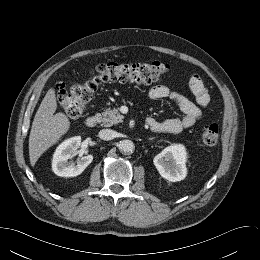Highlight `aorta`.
<instances>
[{
	"label": "aorta",
	"instance_id": "obj_1",
	"mask_svg": "<svg viewBox=\"0 0 260 260\" xmlns=\"http://www.w3.org/2000/svg\"><path fill=\"white\" fill-rule=\"evenodd\" d=\"M118 148L121 152L132 153L135 149V145L131 140H122L119 142Z\"/></svg>",
	"mask_w": 260,
	"mask_h": 260
}]
</instances>
